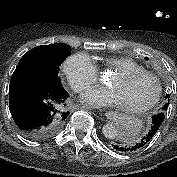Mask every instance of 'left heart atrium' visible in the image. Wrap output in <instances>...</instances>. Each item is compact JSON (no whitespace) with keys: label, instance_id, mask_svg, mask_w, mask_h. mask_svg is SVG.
Wrapping results in <instances>:
<instances>
[{"label":"left heart atrium","instance_id":"left-heart-atrium-1","mask_svg":"<svg viewBox=\"0 0 177 177\" xmlns=\"http://www.w3.org/2000/svg\"><path fill=\"white\" fill-rule=\"evenodd\" d=\"M82 99L96 107L121 105L116 91L112 88L95 87L84 93Z\"/></svg>","mask_w":177,"mask_h":177}]
</instances>
